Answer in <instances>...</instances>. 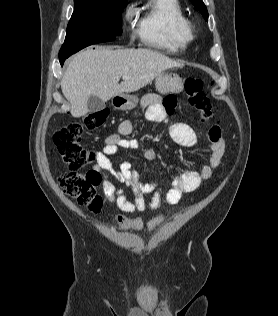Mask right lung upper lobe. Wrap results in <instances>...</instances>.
I'll return each mask as SVG.
<instances>
[{"instance_id":"obj_1","label":"right lung upper lobe","mask_w":278,"mask_h":316,"mask_svg":"<svg viewBox=\"0 0 278 316\" xmlns=\"http://www.w3.org/2000/svg\"><path fill=\"white\" fill-rule=\"evenodd\" d=\"M102 1H115V0H102Z\"/></svg>"}]
</instances>
